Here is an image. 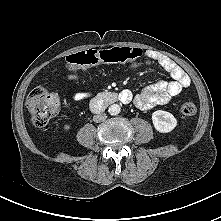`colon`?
<instances>
[{
  "label": "colon",
  "mask_w": 221,
  "mask_h": 221,
  "mask_svg": "<svg viewBox=\"0 0 221 221\" xmlns=\"http://www.w3.org/2000/svg\"><path fill=\"white\" fill-rule=\"evenodd\" d=\"M142 51L136 47H114L111 49L97 50L88 49L66 58V67L70 70L89 68L100 63L118 64L137 61ZM32 123L37 127L45 126L54 116L59 108L58 96L44 87H36L27 98ZM183 117H193L197 108L192 103H184L180 107Z\"/></svg>",
  "instance_id": "colon-1"
}]
</instances>
